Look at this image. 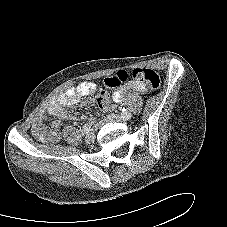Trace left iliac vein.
Segmentation results:
<instances>
[{
	"label": "left iliac vein",
	"mask_w": 227,
	"mask_h": 227,
	"mask_svg": "<svg viewBox=\"0 0 227 227\" xmlns=\"http://www.w3.org/2000/svg\"><path fill=\"white\" fill-rule=\"evenodd\" d=\"M131 117H132V114L129 112L126 115L110 114V115H108L107 119H108V121L124 122V121L129 120Z\"/></svg>",
	"instance_id": "4c4485c4"
}]
</instances>
